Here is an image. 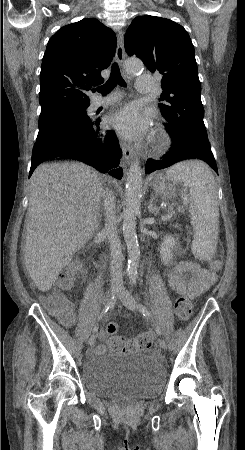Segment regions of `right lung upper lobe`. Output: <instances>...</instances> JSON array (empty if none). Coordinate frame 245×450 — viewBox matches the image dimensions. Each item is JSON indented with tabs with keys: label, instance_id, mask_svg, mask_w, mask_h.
Segmentation results:
<instances>
[{
	"label": "right lung upper lobe",
	"instance_id": "1",
	"mask_svg": "<svg viewBox=\"0 0 245 450\" xmlns=\"http://www.w3.org/2000/svg\"><path fill=\"white\" fill-rule=\"evenodd\" d=\"M114 32L93 18L62 27L49 40L42 60L41 111L89 105L87 92L103 83L101 71L114 56Z\"/></svg>",
	"mask_w": 245,
	"mask_h": 450
}]
</instances>
